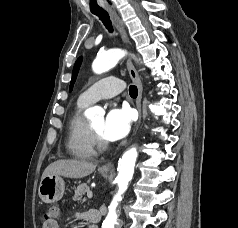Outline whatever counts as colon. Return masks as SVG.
<instances>
[{"label": "colon", "instance_id": "obj_1", "mask_svg": "<svg viewBox=\"0 0 238 228\" xmlns=\"http://www.w3.org/2000/svg\"><path fill=\"white\" fill-rule=\"evenodd\" d=\"M61 210L58 205H51L46 207L41 214V224L42 228L45 226L57 222L60 218Z\"/></svg>", "mask_w": 238, "mask_h": 228}]
</instances>
